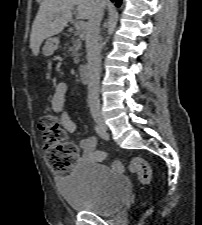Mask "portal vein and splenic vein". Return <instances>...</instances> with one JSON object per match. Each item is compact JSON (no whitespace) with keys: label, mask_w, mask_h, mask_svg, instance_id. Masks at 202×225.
I'll return each mask as SVG.
<instances>
[{"label":"portal vein and splenic vein","mask_w":202,"mask_h":225,"mask_svg":"<svg viewBox=\"0 0 202 225\" xmlns=\"http://www.w3.org/2000/svg\"><path fill=\"white\" fill-rule=\"evenodd\" d=\"M76 30H83L86 27L85 21H77L75 23Z\"/></svg>","instance_id":"1"}]
</instances>
